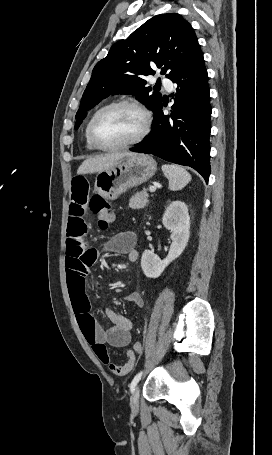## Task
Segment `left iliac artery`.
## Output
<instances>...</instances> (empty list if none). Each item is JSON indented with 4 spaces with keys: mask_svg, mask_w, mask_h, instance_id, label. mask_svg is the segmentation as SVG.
<instances>
[{
    "mask_svg": "<svg viewBox=\"0 0 272 455\" xmlns=\"http://www.w3.org/2000/svg\"><path fill=\"white\" fill-rule=\"evenodd\" d=\"M143 372H139L132 380L131 384H130V390L133 391L137 385V383L139 382L141 376H142Z\"/></svg>",
    "mask_w": 272,
    "mask_h": 455,
    "instance_id": "obj_1",
    "label": "left iliac artery"
}]
</instances>
